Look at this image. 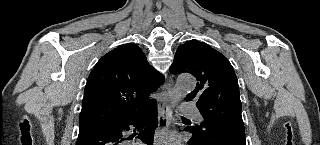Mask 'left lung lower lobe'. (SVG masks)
Wrapping results in <instances>:
<instances>
[{"mask_svg": "<svg viewBox=\"0 0 320 145\" xmlns=\"http://www.w3.org/2000/svg\"><path fill=\"white\" fill-rule=\"evenodd\" d=\"M184 130L190 131L193 134L188 142L189 145H246L245 134L232 130L219 129L206 137L195 135L192 127H187Z\"/></svg>", "mask_w": 320, "mask_h": 145, "instance_id": "left-lung-lower-lobe-1", "label": "left lung lower lobe"}]
</instances>
